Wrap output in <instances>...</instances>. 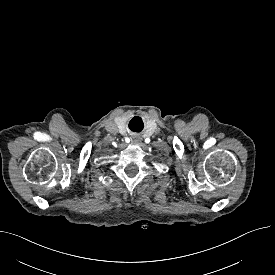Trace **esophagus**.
<instances>
[{
	"instance_id": "esophagus-1",
	"label": "esophagus",
	"mask_w": 275,
	"mask_h": 275,
	"mask_svg": "<svg viewBox=\"0 0 275 275\" xmlns=\"http://www.w3.org/2000/svg\"><path fill=\"white\" fill-rule=\"evenodd\" d=\"M134 142H138L139 141V139L138 138H134V140H133Z\"/></svg>"
}]
</instances>
